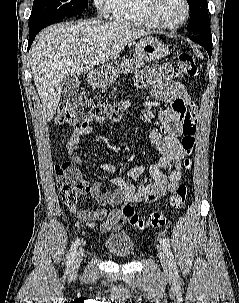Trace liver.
<instances>
[{
    "mask_svg": "<svg viewBox=\"0 0 239 303\" xmlns=\"http://www.w3.org/2000/svg\"><path fill=\"white\" fill-rule=\"evenodd\" d=\"M146 35L127 23L102 20L55 24L42 30L31 46L29 60L46 120L56 113L65 78L104 64ZM90 48L94 49L87 54Z\"/></svg>",
    "mask_w": 239,
    "mask_h": 303,
    "instance_id": "obj_1",
    "label": "liver"
}]
</instances>
